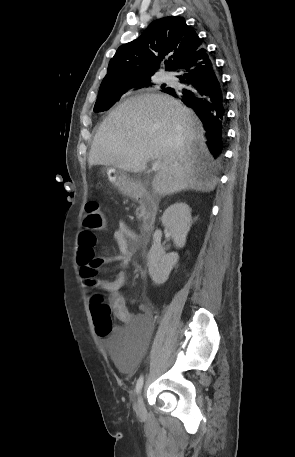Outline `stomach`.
I'll return each instance as SVG.
<instances>
[{"instance_id":"1","label":"stomach","mask_w":295,"mask_h":457,"mask_svg":"<svg viewBox=\"0 0 295 457\" xmlns=\"http://www.w3.org/2000/svg\"><path fill=\"white\" fill-rule=\"evenodd\" d=\"M105 173L110 183H112L121 193H133L134 184L128 178L125 171L118 168L109 167L105 170Z\"/></svg>"}]
</instances>
